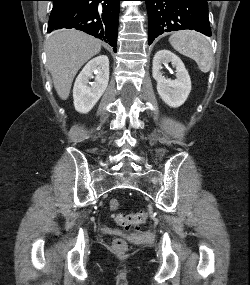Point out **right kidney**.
<instances>
[{"instance_id":"ca27d5eb","label":"right kidney","mask_w":250,"mask_h":285,"mask_svg":"<svg viewBox=\"0 0 250 285\" xmlns=\"http://www.w3.org/2000/svg\"><path fill=\"white\" fill-rule=\"evenodd\" d=\"M93 73L95 76H93ZM94 79L91 87L89 80ZM109 81V59L99 55L82 69L73 87L74 107L80 113H88L105 92Z\"/></svg>"}]
</instances>
